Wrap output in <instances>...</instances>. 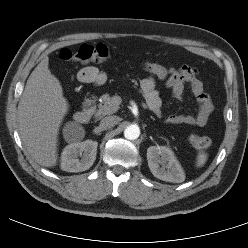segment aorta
<instances>
[{"label":"aorta","instance_id":"762f6f07","mask_svg":"<svg viewBox=\"0 0 248 248\" xmlns=\"http://www.w3.org/2000/svg\"><path fill=\"white\" fill-rule=\"evenodd\" d=\"M140 135V129L137 125H129L125 130H124V136L128 140H135L139 137Z\"/></svg>","mask_w":248,"mask_h":248}]
</instances>
